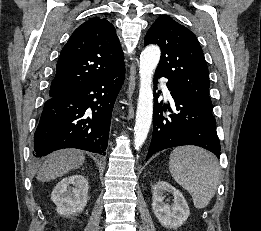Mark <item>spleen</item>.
Wrapping results in <instances>:
<instances>
[{
  "label": "spleen",
  "mask_w": 261,
  "mask_h": 231,
  "mask_svg": "<svg viewBox=\"0 0 261 231\" xmlns=\"http://www.w3.org/2000/svg\"><path fill=\"white\" fill-rule=\"evenodd\" d=\"M169 170L173 179L191 195L196 208L208 205L220 179L216 157L198 147L175 148L170 154Z\"/></svg>",
  "instance_id": "1"
}]
</instances>
